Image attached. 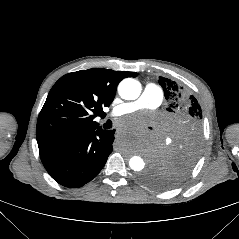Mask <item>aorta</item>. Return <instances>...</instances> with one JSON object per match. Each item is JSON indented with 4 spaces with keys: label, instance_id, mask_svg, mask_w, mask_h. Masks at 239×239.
I'll use <instances>...</instances> for the list:
<instances>
[{
    "label": "aorta",
    "instance_id": "aorta-1",
    "mask_svg": "<svg viewBox=\"0 0 239 239\" xmlns=\"http://www.w3.org/2000/svg\"><path fill=\"white\" fill-rule=\"evenodd\" d=\"M118 92L122 99L135 100L140 96L141 84L133 78H126L120 82ZM129 166L134 171H141L145 167V161L139 156H133L129 160Z\"/></svg>",
    "mask_w": 239,
    "mask_h": 239
}]
</instances>
